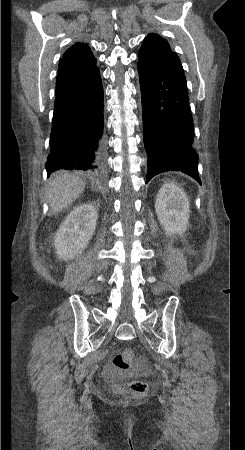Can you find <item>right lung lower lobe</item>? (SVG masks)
I'll return each mask as SVG.
<instances>
[{
	"instance_id": "obj_1",
	"label": "right lung lower lobe",
	"mask_w": 245,
	"mask_h": 450,
	"mask_svg": "<svg viewBox=\"0 0 245 450\" xmlns=\"http://www.w3.org/2000/svg\"><path fill=\"white\" fill-rule=\"evenodd\" d=\"M50 147L48 175L60 169L90 175L105 171L103 87L97 67L56 93Z\"/></svg>"
}]
</instances>
